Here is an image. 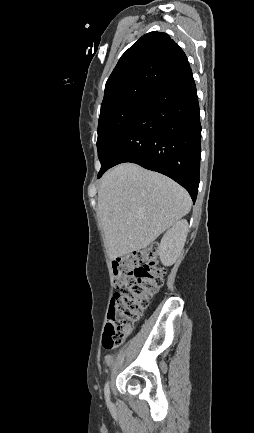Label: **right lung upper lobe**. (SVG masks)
<instances>
[{
    "mask_svg": "<svg viewBox=\"0 0 254 433\" xmlns=\"http://www.w3.org/2000/svg\"><path fill=\"white\" fill-rule=\"evenodd\" d=\"M187 67L185 53L168 34L147 33L121 56L106 82L101 108L126 99H150Z\"/></svg>",
    "mask_w": 254,
    "mask_h": 433,
    "instance_id": "right-lung-upper-lobe-1",
    "label": "right lung upper lobe"
}]
</instances>
